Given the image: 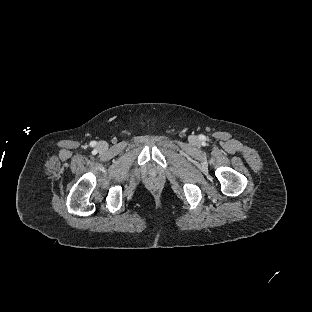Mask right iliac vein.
Returning <instances> with one entry per match:
<instances>
[{"label":"right iliac vein","mask_w":312,"mask_h":312,"mask_svg":"<svg viewBox=\"0 0 312 312\" xmlns=\"http://www.w3.org/2000/svg\"><path fill=\"white\" fill-rule=\"evenodd\" d=\"M105 146H106V143H105V142H100V143L98 144V148H100V149L104 148Z\"/></svg>","instance_id":"obj_1"}]
</instances>
